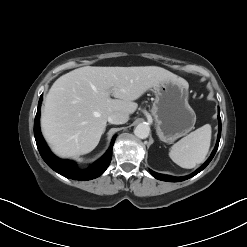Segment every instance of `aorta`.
Instances as JSON below:
<instances>
[{"mask_svg":"<svg viewBox=\"0 0 247 247\" xmlns=\"http://www.w3.org/2000/svg\"><path fill=\"white\" fill-rule=\"evenodd\" d=\"M150 127L148 124L140 123L134 129V134L140 139H146L149 136Z\"/></svg>","mask_w":247,"mask_h":247,"instance_id":"aorta-1","label":"aorta"}]
</instances>
